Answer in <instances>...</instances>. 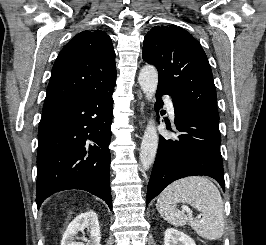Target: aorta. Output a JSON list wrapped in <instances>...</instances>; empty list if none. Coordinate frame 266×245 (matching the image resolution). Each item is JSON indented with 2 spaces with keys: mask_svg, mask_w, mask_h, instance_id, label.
<instances>
[{
  "mask_svg": "<svg viewBox=\"0 0 266 245\" xmlns=\"http://www.w3.org/2000/svg\"><path fill=\"white\" fill-rule=\"evenodd\" d=\"M138 82L147 100H150V102L155 100V92L158 84V70L153 64H145V66H142L139 72ZM158 141L159 137L155 120L151 118L146 127L140 147V163L143 171H148L151 165H153L158 149Z\"/></svg>",
  "mask_w": 266,
  "mask_h": 245,
  "instance_id": "aorta-1",
  "label": "aorta"
}]
</instances>
